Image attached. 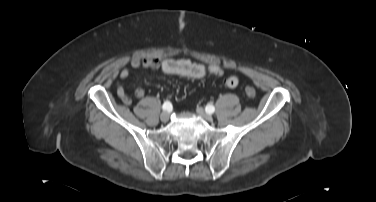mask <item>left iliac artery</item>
<instances>
[{
    "label": "left iliac artery",
    "instance_id": "obj_1",
    "mask_svg": "<svg viewBox=\"0 0 376 202\" xmlns=\"http://www.w3.org/2000/svg\"><path fill=\"white\" fill-rule=\"evenodd\" d=\"M205 109H206V112L210 114L215 111V107L213 105H207Z\"/></svg>",
    "mask_w": 376,
    "mask_h": 202
}]
</instances>
